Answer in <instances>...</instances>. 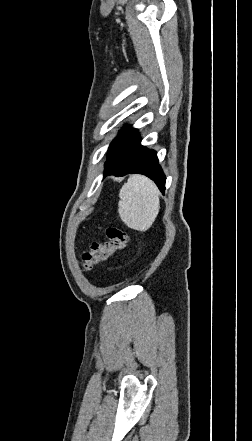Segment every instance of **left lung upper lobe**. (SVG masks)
I'll list each match as a JSON object with an SVG mask.
<instances>
[{
    "label": "left lung upper lobe",
    "mask_w": 252,
    "mask_h": 441,
    "mask_svg": "<svg viewBox=\"0 0 252 441\" xmlns=\"http://www.w3.org/2000/svg\"><path fill=\"white\" fill-rule=\"evenodd\" d=\"M129 130L130 127H125L119 132L118 137L113 140L108 150V156L105 166L109 165L115 158Z\"/></svg>",
    "instance_id": "1"
}]
</instances>
